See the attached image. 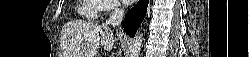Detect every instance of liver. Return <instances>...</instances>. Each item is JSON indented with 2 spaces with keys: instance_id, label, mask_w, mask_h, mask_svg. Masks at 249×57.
Masks as SVG:
<instances>
[{
  "instance_id": "1",
  "label": "liver",
  "mask_w": 249,
  "mask_h": 57,
  "mask_svg": "<svg viewBox=\"0 0 249 57\" xmlns=\"http://www.w3.org/2000/svg\"><path fill=\"white\" fill-rule=\"evenodd\" d=\"M62 44L64 57H100V49L112 50L114 36L106 25L72 21L62 30Z\"/></svg>"
}]
</instances>
